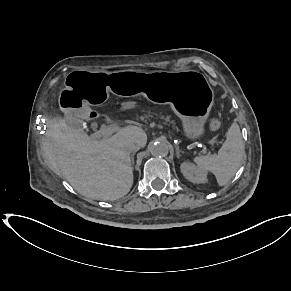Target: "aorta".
Listing matches in <instances>:
<instances>
[{
	"mask_svg": "<svg viewBox=\"0 0 291 291\" xmlns=\"http://www.w3.org/2000/svg\"><path fill=\"white\" fill-rule=\"evenodd\" d=\"M150 152L155 157H165L169 153V147L164 142H155L150 146Z\"/></svg>",
	"mask_w": 291,
	"mask_h": 291,
	"instance_id": "obj_1",
	"label": "aorta"
}]
</instances>
